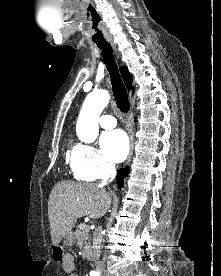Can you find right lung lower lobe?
<instances>
[{"label":"right lung lower lobe","mask_w":221,"mask_h":276,"mask_svg":"<svg viewBox=\"0 0 221 276\" xmlns=\"http://www.w3.org/2000/svg\"><path fill=\"white\" fill-rule=\"evenodd\" d=\"M129 172V167H125V168H121L117 174V185L118 188H122L123 187V179L128 175Z\"/></svg>","instance_id":"obj_1"}]
</instances>
